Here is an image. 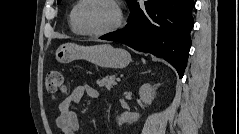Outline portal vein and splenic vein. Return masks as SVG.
Masks as SVG:
<instances>
[{"instance_id": "1", "label": "portal vein and splenic vein", "mask_w": 239, "mask_h": 134, "mask_svg": "<svg viewBox=\"0 0 239 134\" xmlns=\"http://www.w3.org/2000/svg\"><path fill=\"white\" fill-rule=\"evenodd\" d=\"M116 80H117V81H120V78H117Z\"/></svg>"}]
</instances>
